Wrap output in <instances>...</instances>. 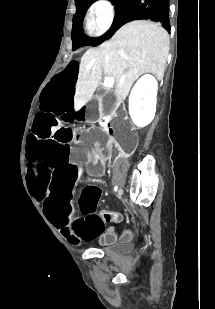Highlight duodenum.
Returning a JSON list of instances; mask_svg holds the SVG:
<instances>
[{"label": "duodenum", "mask_w": 215, "mask_h": 309, "mask_svg": "<svg viewBox=\"0 0 215 309\" xmlns=\"http://www.w3.org/2000/svg\"><path fill=\"white\" fill-rule=\"evenodd\" d=\"M104 126H105V128H106V130L108 132V135L109 136L113 135V126H112V124L110 122H106L104 124Z\"/></svg>", "instance_id": "410a0bca"}]
</instances>
